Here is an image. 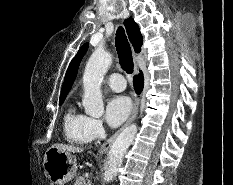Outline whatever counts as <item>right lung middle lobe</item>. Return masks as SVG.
Returning a JSON list of instances; mask_svg holds the SVG:
<instances>
[{"label": "right lung middle lobe", "instance_id": "dd1d6c3e", "mask_svg": "<svg viewBox=\"0 0 233 185\" xmlns=\"http://www.w3.org/2000/svg\"><path fill=\"white\" fill-rule=\"evenodd\" d=\"M62 103H63V101H60V102H59V105H61Z\"/></svg>", "mask_w": 233, "mask_h": 185}]
</instances>
